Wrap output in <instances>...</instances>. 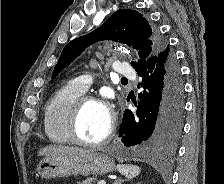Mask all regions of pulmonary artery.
I'll use <instances>...</instances> for the list:
<instances>
[{
  "mask_svg": "<svg viewBox=\"0 0 224 184\" xmlns=\"http://www.w3.org/2000/svg\"><path fill=\"white\" fill-rule=\"evenodd\" d=\"M116 73L122 77H132L135 75L134 69L128 63H120L115 68ZM93 79L90 75H80L73 80V85L82 92H86L92 85Z\"/></svg>",
  "mask_w": 224,
  "mask_h": 184,
  "instance_id": "pulmonary-artery-1",
  "label": "pulmonary artery"
}]
</instances>
